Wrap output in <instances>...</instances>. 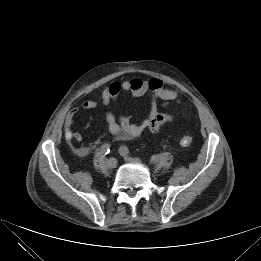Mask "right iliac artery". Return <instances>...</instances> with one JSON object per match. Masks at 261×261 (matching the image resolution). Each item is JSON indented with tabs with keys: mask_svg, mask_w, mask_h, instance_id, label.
<instances>
[{
	"mask_svg": "<svg viewBox=\"0 0 261 261\" xmlns=\"http://www.w3.org/2000/svg\"><path fill=\"white\" fill-rule=\"evenodd\" d=\"M100 153L103 155H107L108 153H110V144L108 143L103 144L100 148Z\"/></svg>",
	"mask_w": 261,
	"mask_h": 261,
	"instance_id": "right-iliac-artery-1",
	"label": "right iliac artery"
}]
</instances>
